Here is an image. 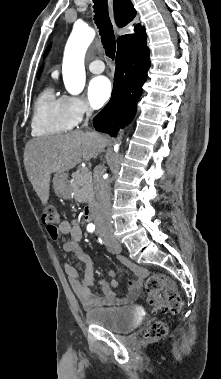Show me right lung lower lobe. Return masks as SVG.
<instances>
[{"mask_svg": "<svg viewBox=\"0 0 221 379\" xmlns=\"http://www.w3.org/2000/svg\"><path fill=\"white\" fill-rule=\"evenodd\" d=\"M145 28L118 43L112 98L93 119L96 130L116 136L134 117L150 68Z\"/></svg>", "mask_w": 221, "mask_h": 379, "instance_id": "obj_1", "label": "right lung lower lobe"}]
</instances>
